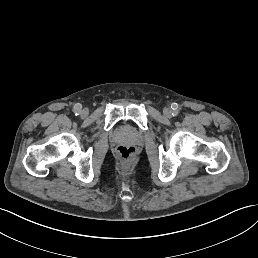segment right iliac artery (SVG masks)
Returning a JSON list of instances; mask_svg holds the SVG:
<instances>
[{"instance_id": "82829eb1", "label": "right iliac artery", "mask_w": 258, "mask_h": 258, "mask_svg": "<svg viewBox=\"0 0 258 258\" xmlns=\"http://www.w3.org/2000/svg\"><path fill=\"white\" fill-rule=\"evenodd\" d=\"M74 114L76 116L80 115L81 114V110L74 108Z\"/></svg>"}]
</instances>
